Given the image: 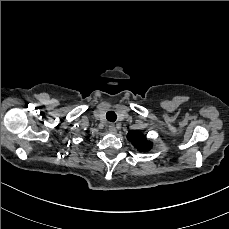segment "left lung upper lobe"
I'll return each mask as SVG.
<instances>
[{"label":"left lung upper lobe","mask_w":229,"mask_h":229,"mask_svg":"<svg viewBox=\"0 0 229 229\" xmlns=\"http://www.w3.org/2000/svg\"><path fill=\"white\" fill-rule=\"evenodd\" d=\"M127 138L140 152H148L152 149V142L140 131H129Z\"/></svg>","instance_id":"obj_1"}]
</instances>
